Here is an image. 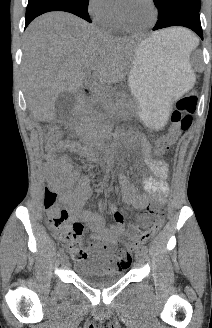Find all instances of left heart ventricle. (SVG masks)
<instances>
[{
  "instance_id": "left-heart-ventricle-1",
  "label": "left heart ventricle",
  "mask_w": 212,
  "mask_h": 328,
  "mask_svg": "<svg viewBox=\"0 0 212 328\" xmlns=\"http://www.w3.org/2000/svg\"><path fill=\"white\" fill-rule=\"evenodd\" d=\"M120 11L124 20L131 26L148 25L153 18V11L147 0H125Z\"/></svg>"
}]
</instances>
